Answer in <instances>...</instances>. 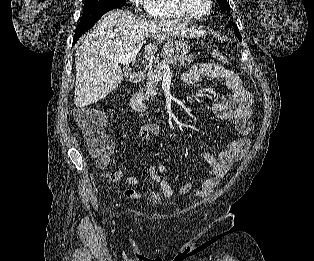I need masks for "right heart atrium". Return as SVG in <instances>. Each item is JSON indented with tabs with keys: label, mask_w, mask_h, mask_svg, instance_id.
<instances>
[{
	"label": "right heart atrium",
	"mask_w": 314,
	"mask_h": 261,
	"mask_svg": "<svg viewBox=\"0 0 314 261\" xmlns=\"http://www.w3.org/2000/svg\"><path fill=\"white\" fill-rule=\"evenodd\" d=\"M150 0H130L131 4L137 11L147 10Z\"/></svg>",
	"instance_id": "right-heart-atrium-1"
}]
</instances>
